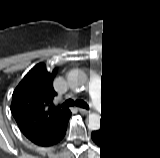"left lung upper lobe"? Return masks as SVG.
I'll use <instances>...</instances> for the list:
<instances>
[{"label": "left lung upper lobe", "mask_w": 160, "mask_h": 158, "mask_svg": "<svg viewBox=\"0 0 160 158\" xmlns=\"http://www.w3.org/2000/svg\"><path fill=\"white\" fill-rule=\"evenodd\" d=\"M104 99L111 108L101 118L109 125L137 134L145 117V97L127 67L116 59L102 61Z\"/></svg>", "instance_id": "5c2ea615"}]
</instances>
